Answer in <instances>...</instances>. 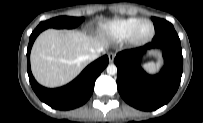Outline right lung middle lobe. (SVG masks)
Returning <instances> with one entry per match:
<instances>
[{
    "label": "right lung middle lobe",
    "mask_w": 203,
    "mask_h": 123,
    "mask_svg": "<svg viewBox=\"0 0 203 123\" xmlns=\"http://www.w3.org/2000/svg\"><path fill=\"white\" fill-rule=\"evenodd\" d=\"M83 17H68V16H59L52 18L47 21L41 22L37 29L45 30L47 28H75L77 27L81 22H83Z\"/></svg>",
    "instance_id": "right-lung-middle-lobe-1"
}]
</instances>
